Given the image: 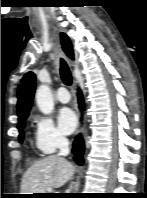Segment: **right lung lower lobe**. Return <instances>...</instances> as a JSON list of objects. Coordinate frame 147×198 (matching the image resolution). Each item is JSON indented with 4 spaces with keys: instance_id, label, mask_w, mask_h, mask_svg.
Instances as JSON below:
<instances>
[{
    "instance_id": "right-lung-lower-lobe-1",
    "label": "right lung lower lobe",
    "mask_w": 147,
    "mask_h": 198,
    "mask_svg": "<svg viewBox=\"0 0 147 198\" xmlns=\"http://www.w3.org/2000/svg\"><path fill=\"white\" fill-rule=\"evenodd\" d=\"M78 98H79V104L81 105L80 108H82V105H83V97H82V94H81V91L79 90L78 92ZM73 153L75 154V157H74V160L75 162L78 164V165H83V153H84V145H83V140L81 138L80 135H78L76 137V140L74 141V144H73Z\"/></svg>"
}]
</instances>
